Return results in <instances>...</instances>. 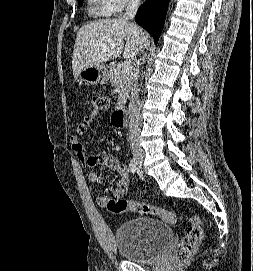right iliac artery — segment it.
Returning <instances> with one entry per match:
<instances>
[{"instance_id":"right-iliac-artery-1","label":"right iliac artery","mask_w":253,"mask_h":271,"mask_svg":"<svg viewBox=\"0 0 253 271\" xmlns=\"http://www.w3.org/2000/svg\"><path fill=\"white\" fill-rule=\"evenodd\" d=\"M129 169L133 174L138 170V163L135 161L134 158L130 161Z\"/></svg>"}]
</instances>
